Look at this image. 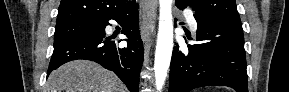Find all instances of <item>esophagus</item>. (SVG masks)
Instances as JSON below:
<instances>
[{"instance_id": "esophagus-1", "label": "esophagus", "mask_w": 289, "mask_h": 92, "mask_svg": "<svg viewBox=\"0 0 289 92\" xmlns=\"http://www.w3.org/2000/svg\"><path fill=\"white\" fill-rule=\"evenodd\" d=\"M146 18L141 24L140 33L143 42H146L155 33L157 20V0H145Z\"/></svg>"}]
</instances>
